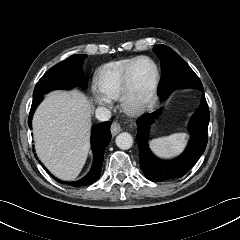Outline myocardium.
Returning <instances> with one entry per match:
<instances>
[{
    "label": "myocardium",
    "instance_id": "1",
    "mask_svg": "<svg viewBox=\"0 0 240 240\" xmlns=\"http://www.w3.org/2000/svg\"><path fill=\"white\" fill-rule=\"evenodd\" d=\"M143 60H147L152 63L155 69L154 81L149 91L141 97L136 98L131 86V78L133 71L137 64ZM161 81V72L159 65L155 60L148 56L137 57L127 68L123 81L120 94V104L122 110L128 115H140L149 110L155 103Z\"/></svg>",
    "mask_w": 240,
    "mask_h": 240
}]
</instances>
